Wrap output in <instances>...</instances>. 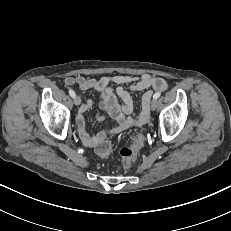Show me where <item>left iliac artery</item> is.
<instances>
[{
	"instance_id": "obj_1",
	"label": "left iliac artery",
	"mask_w": 231,
	"mask_h": 231,
	"mask_svg": "<svg viewBox=\"0 0 231 231\" xmlns=\"http://www.w3.org/2000/svg\"><path fill=\"white\" fill-rule=\"evenodd\" d=\"M161 93L160 92H156L153 96L154 99H158L160 97Z\"/></svg>"
}]
</instances>
